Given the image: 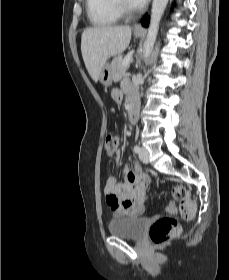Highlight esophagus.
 I'll return each instance as SVG.
<instances>
[{"instance_id": "esophagus-1", "label": "esophagus", "mask_w": 229, "mask_h": 280, "mask_svg": "<svg viewBox=\"0 0 229 280\" xmlns=\"http://www.w3.org/2000/svg\"><path fill=\"white\" fill-rule=\"evenodd\" d=\"M143 28L141 27V25L140 24H137L135 27H134V30H136V31H140V30H142Z\"/></svg>"}]
</instances>
